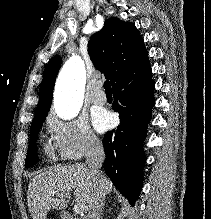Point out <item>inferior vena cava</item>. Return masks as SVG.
<instances>
[{"mask_svg":"<svg viewBox=\"0 0 211 219\" xmlns=\"http://www.w3.org/2000/svg\"><path fill=\"white\" fill-rule=\"evenodd\" d=\"M105 160V153L101 142L92 138L89 141V147L86 153V162L96 181L93 200L87 211V219H100L105 201V192L102 188L100 168Z\"/></svg>","mask_w":211,"mask_h":219,"instance_id":"602c4592","label":"inferior vena cava"}]
</instances>
